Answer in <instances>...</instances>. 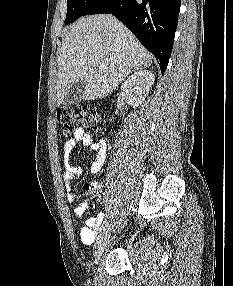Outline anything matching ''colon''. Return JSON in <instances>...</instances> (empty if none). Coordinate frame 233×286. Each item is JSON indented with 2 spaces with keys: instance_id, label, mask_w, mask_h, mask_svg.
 <instances>
[{
  "instance_id": "1",
  "label": "colon",
  "mask_w": 233,
  "mask_h": 286,
  "mask_svg": "<svg viewBox=\"0 0 233 286\" xmlns=\"http://www.w3.org/2000/svg\"><path fill=\"white\" fill-rule=\"evenodd\" d=\"M57 121L61 124L64 134H70L76 127L80 126L88 133L97 134L100 127V117L98 113L90 107H75L63 109L57 112ZM96 184H87L86 191H95Z\"/></svg>"
}]
</instances>
